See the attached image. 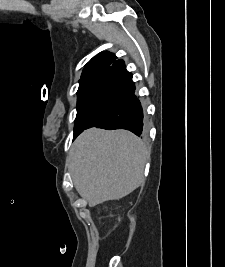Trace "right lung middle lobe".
<instances>
[{"instance_id": "1", "label": "right lung middle lobe", "mask_w": 225, "mask_h": 267, "mask_svg": "<svg viewBox=\"0 0 225 267\" xmlns=\"http://www.w3.org/2000/svg\"><path fill=\"white\" fill-rule=\"evenodd\" d=\"M96 79H88L80 81L79 89H78V102H77V113L81 107V104L90 88V86L95 82Z\"/></svg>"}]
</instances>
